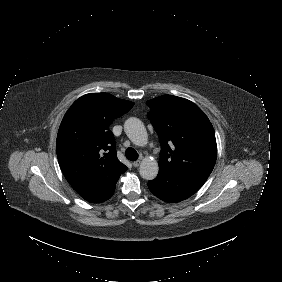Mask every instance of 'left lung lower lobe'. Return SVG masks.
Here are the masks:
<instances>
[{
    "instance_id": "0a47b994",
    "label": "left lung lower lobe",
    "mask_w": 282,
    "mask_h": 282,
    "mask_svg": "<svg viewBox=\"0 0 282 282\" xmlns=\"http://www.w3.org/2000/svg\"><path fill=\"white\" fill-rule=\"evenodd\" d=\"M208 176L199 173L159 171L157 177L148 182V187L156 197L165 202H180L197 192Z\"/></svg>"
}]
</instances>
